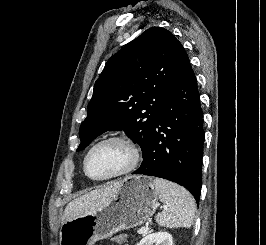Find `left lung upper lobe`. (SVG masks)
<instances>
[{
    "instance_id": "1",
    "label": "left lung upper lobe",
    "mask_w": 266,
    "mask_h": 245,
    "mask_svg": "<svg viewBox=\"0 0 266 245\" xmlns=\"http://www.w3.org/2000/svg\"><path fill=\"white\" fill-rule=\"evenodd\" d=\"M188 61L181 43L161 27L149 28L124 46L95 82L76 151L106 131L124 130L143 154L153 121Z\"/></svg>"
}]
</instances>
